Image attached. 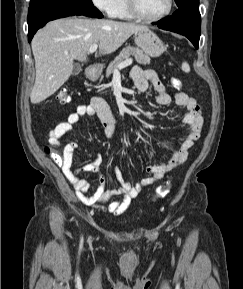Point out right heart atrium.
<instances>
[{"instance_id":"1","label":"right heart atrium","mask_w":243,"mask_h":289,"mask_svg":"<svg viewBox=\"0 0 243 289\" xmlns=\"http://www.w3.org/2000/svg\"><path fill=\"white\" fill-rule=\"evenodd\" d=\"M100 11L112 16L120 0H91Z\"/></svg>"}]
</instances>
